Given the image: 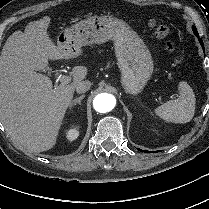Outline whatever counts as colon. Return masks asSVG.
<instances>
[{"instance_id":"colon-1","label":"colon","mask_w":209,"mask_h":209,"mask_svg":"<svg viewBox=\"0 0 209 209\" xmlns=\"http://www.w3.org/2000/svg\"><path fill=\"white\" fill-rule=\"evenodd\" d=\"M148 27L154 31V35L157 39L163 40L164 49L168 52H173L177 46V41L169 37L170 30L168 26L160 24L153 19H150L147 23ZM173 62L176 65L184 66L185 57L182 54H177L173 58Z\"/></svg>"}]
</instances>
